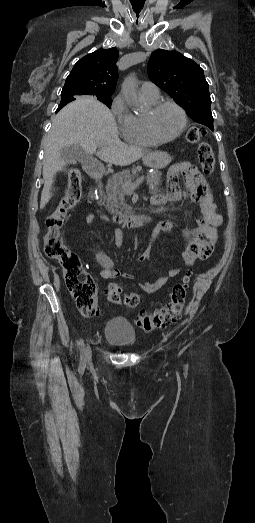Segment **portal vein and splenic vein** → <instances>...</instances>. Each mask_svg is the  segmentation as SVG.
<instances>
[{
  "instance_id": "1",
  "label": "portal vein and splenic vein",
  "mask_w": 255,
  "mask_h": 523,
  "mask_svg": "<svg viewBox=\"0 0 255 523\" xmlns=\"http://www.w3.org/2000/svg\"><path fill=\"white\" fill-rule=\"evenodd\" d=\"M145 180V174L138 176L133 182H123V190H126V196L132 197L134 195L135 188L143 183Z\"/></svg>"
}]
</instances>
